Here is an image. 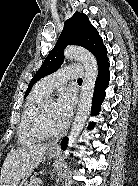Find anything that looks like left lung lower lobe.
Listing matches in <instances>:
<instances>
[{
	"mask_svg": "<svg viewBox=\"0 0 138 186\" xmlns=\"http://www.w3.org/2000/svg\"><path fill=\"white\" fill-rule=\"evenodd\" d=\"M110 79V72H109V63L104 64L103 66L99 67V75L95 85V91L93 96V103L91 108L92 115H97L101 109V103L105 98V89L108 86V82ZM94 123H90L88 128H93ZM68 138H63L61 142V148L63 150L66 149Z\"/></svg>",
	"mask_w": 138,
	"mask_h": 186,
	"instance_id": "obj_1",
	"label": "left lung lower lobe"
}]
</instances>
